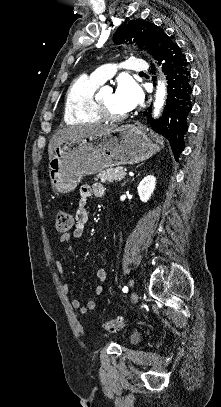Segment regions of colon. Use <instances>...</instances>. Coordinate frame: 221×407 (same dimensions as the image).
Segmentation results:
<instances>
[{
	"instance_id": "colon-1",
	"label": "colon",
	"mask_w": 221,
	"mask_h": 407,
	"mask_svg": "<svg viewBox=\"0 0 221 407\" xmlns=\"http://www.w3.org/2000/svg\"><path fill=\"white\" fill-rule=\"evenodd\" d=\"M73 226V218L70 213L66 211H60L56 217V230L59 233H67ZM125 325V321L123 318H116L107 321L103 325V329L108 333H114L120 329H122Z\"/></svg>"
}]
</instances>
